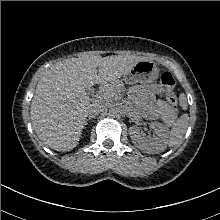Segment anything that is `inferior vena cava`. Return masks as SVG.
Listing matches in <instances>:
<instances>
[{"label": "inferior vena cava", "instance_id": "602c4592", "mask_svg": "<svg viewBox=\"0 0 220 220\" xmlns=\"http://www.w3.org/2000/svg\"><path fill=\"white\" fill-rule=\"evenodd\" d=\"M105 106L102 104H93L92 107L89 109L88 115L90 118L95 117L100 112L104 110Z\"/></svg>", "mask_w": 220, "mask_h": 220}]
</instances>
